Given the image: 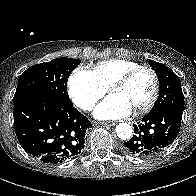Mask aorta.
<instances>
[{"instance_id":"762f6f07","label":"aorta","mask_w":196,"mask_h":196,"mask_svg":"<svg viewBox=\"0 0 196 196\" xmlns=\"http://www.w3.org/2000/svg\"><path fill=\"white\" fill-rule=\"evenodd\" d=\"M116 133L122 140L130 139L132 135V126L128 123H120L116 126Z\"/></svg>"}]
</instances>
